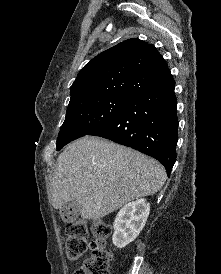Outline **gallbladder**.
<instances>
[{
    "mask_svg": "<svg viewBox=\"0 0 221 274\" xmlns=\"http://www.w3.org/2000/svg\"><path fill=\"white\" fill-rule=\"evenodd\" d=\"M68 209L69 212L67 214L64 215V213H62L63 218L66 216L67 219L75 221L80 215L82 206L77 200H72L68 205Z\"/></svg>",
    "mask_w": 221,
    "mask_h": 274,
    "instance_id": "1",
    "label": "gallbladder"
}]
</instances>
